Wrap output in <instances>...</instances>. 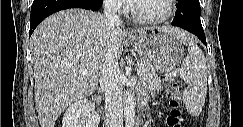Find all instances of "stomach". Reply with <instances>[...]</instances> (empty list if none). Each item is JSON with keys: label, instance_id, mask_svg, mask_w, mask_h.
<instances>
[{"label": "stomach", "instance_id": "0dacf381", "mask_svg": "<svg viewBox=\"0 0 243 127\" xmlns=\"http://www.w3.org/2000/svg\"><path fill=\"white\" fill-rule=\"evenodd\" d=\"M128 39L143 61L158 73L173 71L184 57V47L178 36L163 28H148Z\"/></svg>", "mask_w": 243, "mask_h": 127}]
</instances>
